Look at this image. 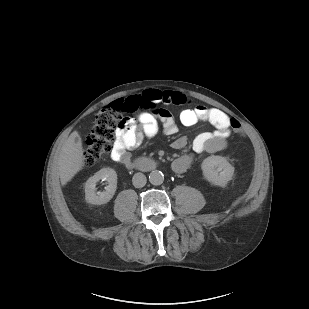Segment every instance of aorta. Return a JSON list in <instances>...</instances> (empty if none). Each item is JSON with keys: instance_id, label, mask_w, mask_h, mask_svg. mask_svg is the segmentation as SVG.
<instances>
[{"instance_id": "aorta-1", "label": "aorta", "mask_w": 309, "mask_h": 309, "mask_svg": "<svg viewBox=\"0 0 309 309\" xmlns=\"http://www.w3.org/2000/svg\"><path fill=\"white\" fill-rule=\"evenodd\" d=\"M149 181L152 185H161L164 181V175L161 171H152L149 174Z\"/></svg>"}]
</instances>
